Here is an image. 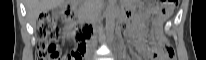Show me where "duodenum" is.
<instances>
[{"mask_svg": "<svg viewBox=\"0 0 206 60\" xmlns=\"http://www.w3.org/2000/svg\"><path fill=\"white\" fill-rule=\"evenodd\" d=\"M64 16L67 20L76 22L75 26L77 28H83L86 35L90 36L93 33L94 28L92 24L89 22H84L83 19H79L76 4L74 2H70L65 6ZM118 30H120V32L121 30H125V25H118Z\"/></svg>", "mask_w": 206, "mask_h": 60, "instance_id": "410a0bca", "label": "duodenum"}]
</instances>
